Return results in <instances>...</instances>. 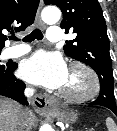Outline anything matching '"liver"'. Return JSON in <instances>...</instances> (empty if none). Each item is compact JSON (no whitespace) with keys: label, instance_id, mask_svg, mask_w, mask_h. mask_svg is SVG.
<instances>
[{"label":"liver","instance_id":"1","mask_svg":"<svg viewBox=\"0 0 117 131\" xmlns=\"http://www.w3.org/2000/svg\"><path fill=\"white\" fill-rule=\"evenodd\" d=\"M22 106L7 99L0 98V131H17L22 120Z\"/></svg>","mask_w":117,"mask_h":131}]
</instances>
